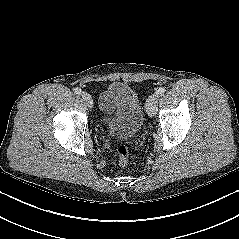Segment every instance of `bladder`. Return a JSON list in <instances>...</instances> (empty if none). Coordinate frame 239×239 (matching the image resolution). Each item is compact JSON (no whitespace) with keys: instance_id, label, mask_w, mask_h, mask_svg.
Masks as SVG:
<instances>
[{"instance_id":"bladder-1","label":"bladder","mask_w":239,"mask_h":239,"mask_svg":"<svg viewBox=\"0 0 239 239\" xmlns=\"http://www.w3.org/2000/svg\"><path fill=\"white\" fill-rule=\"evenodd\" d=\"M115 118L110 127L114 133L132 137L143 122L142 105L138 93L129 84L115 82L109 85Z\"/></svg>"}]
</instances>
